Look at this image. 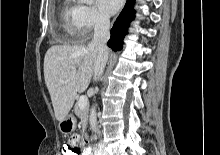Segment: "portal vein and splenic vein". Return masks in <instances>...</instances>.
Returning a JSON list of instances; mask_svg holds the SVG:
<instances>
[{"label":"portal vein and splenic vein","mask_w":220,"mask_h":155,"mask_svg":"<svg viewBox=\"0 0 220 155\" xmlns=\"http://www.w3.org/2000/svg\"><path fill=\"white\" fill-rule=\"evenodd\" d=\"M87 101H88V99H87L86 96H83V95L80 96V98H79V100H78V105H79V107H80V108L86 107Z\"/></svg>","instance_id":"portal-vein-and-splenic-vein-1"}]
</instances>
